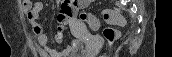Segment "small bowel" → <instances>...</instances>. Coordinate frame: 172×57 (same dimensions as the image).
<instances>
[{
	"label": "small bowel",
	"instance_id": "1",
	"mask_svg": "<svg viewBox=\"0 0 172 57\" xmlns=\"http://www.w3.org/2000/svg\"><path fill=\"white\" fill-rule=\"evenodd\" d=\"M87 2L88 1H71L64 2L62 4V7L56 17L58 26L53 37L55 43H62L65 27L70 21H73L72 15L69 13L71 7L73 5L76 6L80 4H86ZM23 8L26 12V17L31 30L37 38L40 52L44 57H67L68 55L75 53L82 48V44L78 39L72 40L69 44L63 46L60 50H56L50 45L48 36L40 24V13L44 8V3L42 1L32 3L31 1L26 0L23 2Z\"/></svg>",
	"mask_w": 172,
	"mask_h": 57
}]
</instances>
